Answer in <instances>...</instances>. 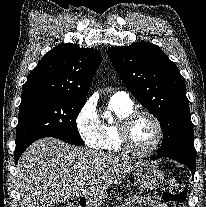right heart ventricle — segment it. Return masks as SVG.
<instances>
[{"label": "right heart ventricle", "instance_id": "1", "mask_svg": "<svg viewBox=\"0 0 206 207\" xmlns=\"http://www.w3.org/2000/svg\"><path fill=\"white\" fill-rule=\"evenodd\" d=\"M108 110L115 115L114 122L103 121L101 123V149L109 153L122 152L118 139V126L121 120L134 110L132 103H125L111 97Z\"/></svg>", "mask_w": 206, "mask_h": 207}]
</instances>
